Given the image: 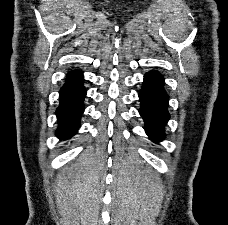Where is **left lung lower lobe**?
<instances>
[{
  "instance_id": "1",
  "label": "left lung lower lobe",
  "mask_w": 228,
  "mask_h": 225,
  "mask_svg": "<svg viewBox=\"0 0 228 225\" xmlns=\"http://www.w3.org/2000/svg\"><path fill=\"white\" fill-rule=\"evenodd\" d=\"M163 83L164 78L160 73L150 71L145 74L139 92L141 101L139 113L145 121L146 134L157 142L164 139V126L170 117L167 111L169 97Z\"/></svg>"
}]
</instances>
